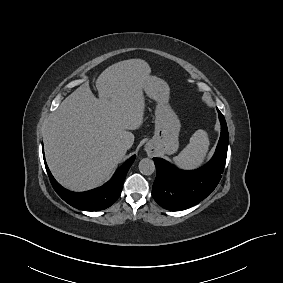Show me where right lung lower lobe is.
Returning <instances> with one entry per match:
<instances>
[{
	"label": "right lung lower lobe",
	"mask_w": 283,
	"mask_h": 283,
	"mask_svg": "<svg viewBox=\"0 0 283 283\" xmlns=\"http://www.w3.org/2000/svg\"><path fill=\"white\" fill-rule=\"evenodd\" d=\"M134 160L135 156L127 160L126 163L115 172L111 180L102 187L87 192L74 193L66 190L57 183L48 169L44 158L50 182L57 194L71 206L86 211L104 210L110 207L119 198L126 174Z\"/></svg>",
	"instance_id": "98d812e1"
}]
</instances>
